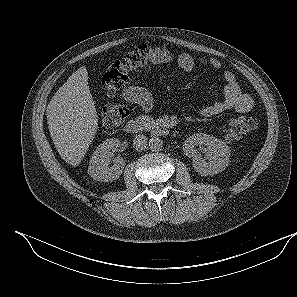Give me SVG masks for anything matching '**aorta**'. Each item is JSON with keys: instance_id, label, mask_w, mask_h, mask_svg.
Instances as JSON below:
<instances>
[{"instance_id": "762f6f07", "label": "aorta", "mask_w": 297, "mask_h": 297, "mask_svg": "<svg viewBox=\"0 0 297 297\" xmlns=\"http://www.w3.org/2000/svg\"><path fill=\"white\" fill-rule=\"evenodd\" d=\"M163 147V142L160 138L158 137H152L150 140H149V148L152 150V151H160Z\"/></svg>"}]
</instances>
